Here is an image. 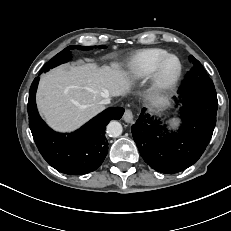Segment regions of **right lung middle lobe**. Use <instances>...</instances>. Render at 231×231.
<instances>
[{"label": "right lung middle lobe", "mask_w": 231, "mask_h": 231, "mask_svg": "<svg viewBox=\"0 0 231 231\" xmlns=\"http://www.w3.org/2000/svg\"><path fill=\"white\" fill-rule=\"evenodd\" d=\"M92 48L93 47L91 46H86V47L76 46V45L68 46L67 48L59 52L57 55H55L49 62H47L44 65V67L41 69L40 74L62 63L67 62L70 58V56H68L70 54V50L78 49V50L86 51V50H91ZM101 48H105V46H101Z\"/></svg>", "instance_id": "obj_1"}]
</instances>
